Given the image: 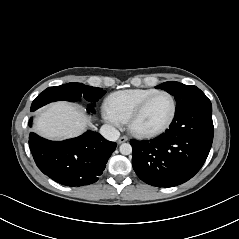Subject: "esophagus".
<instances>
[{"instance_id":"1","label":"esophagus","mask_w":239,"mask_h":239,"mask_svg":"<svg viewBox=\"0 0 239 239\" xmlns=\"http://www.w3.org/2000/svg\"><path fill=\"white\" fill-rule=\"evenodd\" d=\"M128 141V137L127 136H121L119 139H118V143L121 144V143H124Z\"/></svg>"}]
</instances>
